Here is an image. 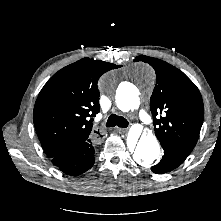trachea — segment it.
<instances>
[{
	"label": "trachea",
	"mask_w": 221,
	"mask_h": 221,
	"mask_svg": "<svg viewBox=\"0 0 221 221\" xmlns=\"http://www.w3.org/2000/svg\"><path fill=\"white\" fill-rule=\"evenodd\" d=\"M128 121L121 116H117L116 114H112L109 116L107 122H106V127H114V126H119L122 128L128 127Z\"/></svg>",
	"instance_id": "1"
}]
</instances>
